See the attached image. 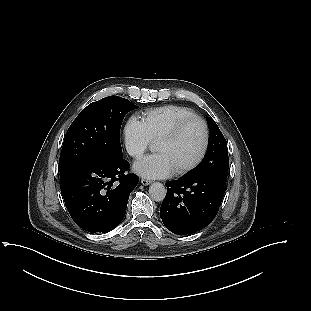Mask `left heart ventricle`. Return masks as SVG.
<instances>
[{
    "mask_svg": "<svg viewBox=\"0 0 311 311\" xmlns=\"http://www.w3.org/2000/svg\"><path fill=\"white\" fill-rule=\"evenodd\" d=\"M202 138L201 126L194 123L184 129L176 139L157 142L155 150L164 153L176 170L196 157L201 148Z\"/></svg>",
    "mask_w": 311,
    "mask_h": 311,
    "instance_id": "obj_1",
    "label": "left heart ventricle"
}]
</instances>
